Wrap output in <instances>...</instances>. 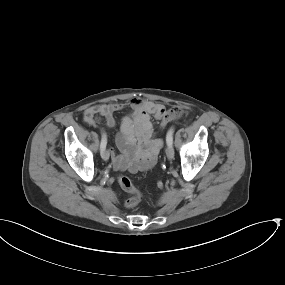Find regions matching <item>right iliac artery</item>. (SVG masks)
<instances>
[{"instance_id":"82829eb1","label":"right iliac artery","mask_w":285,"mask_h":285,"mask_svg":"<svg viewBox=\"0 0 285 285\" xmlns=\"http://www.w3.org/2000/svg\"><path fill=\"white\" fill-rule=\"evenodd\" d=\"M106 145H107V137H106V134L103 132L102 133L101 144H100L101 151H103L106 148Z\"/></svg>"}]
</instances>
